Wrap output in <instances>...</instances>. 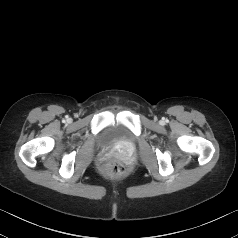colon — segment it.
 Returning <instances> with one entry per match:
<instances>
[{
    "mask_svg": "<svg viewBox=\"0 0 238 238\" xmlns=\"http://www.w3.org/2000/svg\"><path fill=\"white\" fill-rule=\"evenodd\" d=\"M125 172H126L125 167L121 163L112 162L108 167L107 174L110 177L118 178L122 177L125 174Z\"/></svg>",
    "mask_w": 238,
    "mask_h": 238,
    "instance_id": "colon-1",
    "label": "colon"
}]
</instances>
